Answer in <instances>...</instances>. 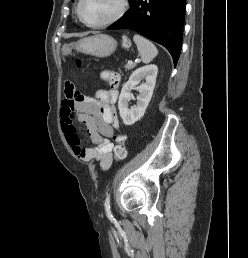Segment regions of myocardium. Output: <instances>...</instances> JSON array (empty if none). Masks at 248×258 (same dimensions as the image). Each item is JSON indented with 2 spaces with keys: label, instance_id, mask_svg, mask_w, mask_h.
<instances>
[{
  "label": "myocardium",
  "instance_id": "1",
  "mask_svg": "<svg viewBox=\"0 0 248 258\" xmlns=\"http://www.w3.org/2000/svg\"><path fill=\"white\" fill-rule=\"evenodd\" d=\"M84 0H78V5H77V14L79 19L88 27L91 28H101V27H105L108 25H111L115 22H117L125 13L126 8H127V0H119V7L116 10V12L109 17L108 19L101 21L99 23H90L88 22L85 17L82 14V4H83Z\"/></svg>",
  "mask_w": 248,
  "mask_h": 258
}]
</instances>
